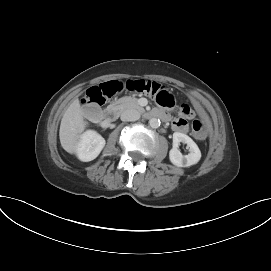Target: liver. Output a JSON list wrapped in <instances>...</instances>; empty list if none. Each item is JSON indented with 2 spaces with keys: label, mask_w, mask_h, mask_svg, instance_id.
<instances>
[{
  "label": "liver",
  "mask_w": 271,
  "mask_h": 271,
  "mask_svg": "<svg viewBox=\"0 0 271 271\" xmlns=\"http://www.w3.org/2000/svg\"><path fill=\"white\" fill-rule=\"evenodd\" d=\"M85 127L80 102L75 99L65 111L59 130L60 143L65 151L70 154L77 152L78 142Z\"/></svg>",
  "instance_id": "6515ba94"
}]
</instances>
